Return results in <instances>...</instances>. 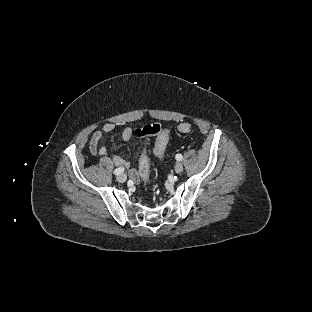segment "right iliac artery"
<instances>
[{
  "label": "right iliac artery",
  "mask_w": 312,
  "mask_h": 312,
  "mask_svg": "<svg viewBox=\"0 0 312 312\" xmlns=\"http://www.w3.org/2000/svg\"><path fill=\"white\" fill-rule=\"evenodd\" d=\"M123 171H124V168H123V167L117 168V169L114 170V174H115V175H119V174L123 173Z\"/></svg>",
  "instance_id": "82829eb1"
}]
</instances>
